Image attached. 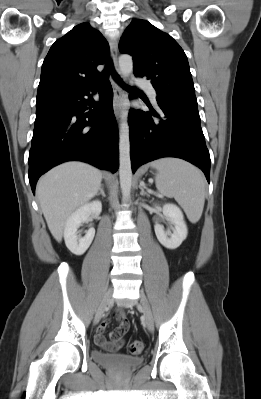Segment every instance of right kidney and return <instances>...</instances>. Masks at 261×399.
<instances>
[{
  "mask_svg": "<svg viewBox=\"0 0 261 399\" xmlns=\"http://www.w3.org/2000/svg\"><path fill=\"white\" fill-rule=\"evenodd\" d=\"M102 203L99 200L86 203L73 212L65 223L64 240L67 248L75 255L80 256L86 252L95 236V229L90 228L84 237L78 235V228L87 222L91 214L99 215Z\"/></svg>",
  "mask_w": 261,
  "mask_h": 399,
  "instance_id": "obj_1",
  "label": "right kidney"
}]
</instances>
